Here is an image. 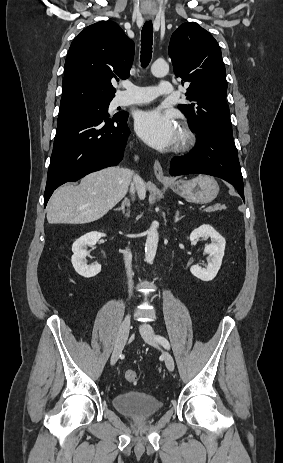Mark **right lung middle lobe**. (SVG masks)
<instances>
[{"instance_id": "right-lung-middle-lobe-1", "label": "right lung middle lobe", "mask_w": 283, "mask_h": 463, "mask_svg": "<svg viewBox=\"0 0 283 463\" xmlns=\"http://www.w3.org/2000/svg\"><path fill=\"white\" fill-rule=\"evenodd\" d=\"M111 100L112 99L91 100L76 106L62 109L60 110L58 122L88 112H101L108 115V106Z\"/></svg>"}]
</instances>
